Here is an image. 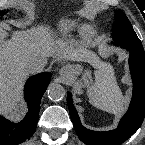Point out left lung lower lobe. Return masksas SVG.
I'll return each instance as SVG.
<instances>
[{"mask_svg": "<svg viewBox=\"0 0 145 145\" xmlns=\"http://www.w3.org/2000/svg\"><path fill=\"white\" fill-rule=\"evenodd\" d=\"M125 48V47H124ZM129 50V66L133 80V96L127 113L116 129L97 132L85 128L79 120L72 103L71 94L67 95V104L75 131L87 145H120L133 135L141 126L145 117V55L134 48Z\"/></svg>", "mask_w": 145, "mask_h": 145, "instance_id": "1", "label": "left lung lower lobe"}]
</instances>
